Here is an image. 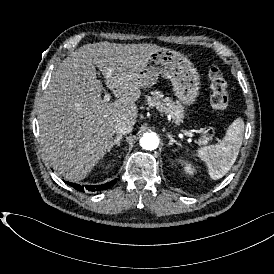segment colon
<instances>
[{"instance_id":"colon-1","label":"colon","mask_w":274,"mask_h":274,"mask_svg":"<svg viewBox=\"0 0 274 274\" xmlns=\"http://www.w3.org/2000/svg\"><path fill=\"white\" fill-rule=\"evenodd\" d=\"M207 75L211 87L210 105L216 112H223L230 104V92L225 77L217 66H210Z\"/></svg>"}]
</instances>
